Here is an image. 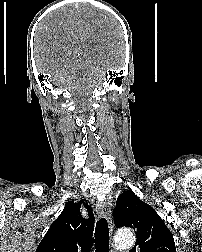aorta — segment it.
Masks as SVG:
<instances>
[{
    "instance_id": "762f6f07",
    "label": "aorta",
    "mask_w": 202,
    "mask_h": 252,
    "mask_svg": "<svg viewBox=\"0 0 202 252\" xmlns=\"http://www.w3.org/2000/svg\"><path fill=\"white\" fill-rule=\"evenodd\" d=\"M135 238L130 230L118 231L115 235L114 242L117 250H126L134 244Z\"/></svg>"
}]
</instances>
